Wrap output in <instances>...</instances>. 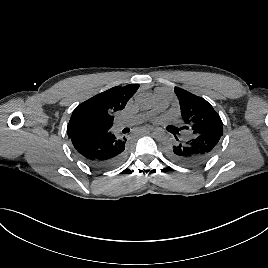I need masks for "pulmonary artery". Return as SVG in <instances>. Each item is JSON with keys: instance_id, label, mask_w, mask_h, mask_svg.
<instances>
[{"instance_id": "1", "label": "pulmonary artery", "mask_w": 268, "mask_h": 268, "mask_svg": "<svg viewBox=\"0 0 268 268\" xmlns=\"http://www.w3.org/2000/svg\"><path fill=\"white\" fill-rule=\"evenodd\" d=\"M171 99H172L171 93L161 90V89L157 90L154 94L153 105L150 110L142 112L134 118L124 117L117 123L116 127L121 128L124 126L131 125L135 122L140 123V122L148 120L154 114L164 110L169 105Z\"/></svg>"}]
</instances>
